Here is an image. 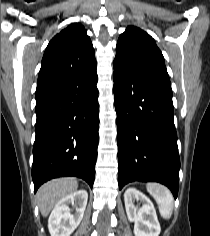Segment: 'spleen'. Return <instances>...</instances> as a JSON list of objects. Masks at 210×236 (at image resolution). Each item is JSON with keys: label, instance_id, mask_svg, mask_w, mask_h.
Instances as JSON below:
<instances>
[{"label": "spleen", "instance_id": "3e777b00", "mask_svg": "<svg viewBox=\"0 0 210 236\" xmlns=\"http://www.w3.org/2000/svg\"><path fill=\"white\" fill-rule=\"evenodd\" d=\"M147 191L156 200L159 212L164 219H169L173 212V195L164 186L157 183H148Z\"/></svg>", "mask_w": 210, "mask_h": 236}]
</instances>
